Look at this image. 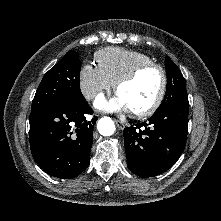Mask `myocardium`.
I'll return each mask as SVG.
<instances>
[{
    "label": "myocardium",
    "mask_w": 221,
    "mask_h": 221,
    "mask_svg": "<svg viewBox=\"0 0 221 221\" xmlns=\"http://www.w3.org/2000/svg\"><path fill=\"white\" fill-rule=\"evenodd\" d=\"M148 69H156L160 72L161 87H160V91H159L156 99L154 100V102L150 106H148L147 108H145L143 110L131 111V114L134 117H137V118H143V117L151 116L161 106V104L164 100L166 91H167V86H168V77H167V73H166L165 69L160 64H157V63H154V62L143 63V64H140V65L136 66L130 72L125 74L123 77H121L116 82V85H115V89L118 92L122 86L132 82L142 72H144Z\"/></svg>",
    "instance_id": "1"
}]
</instances>
